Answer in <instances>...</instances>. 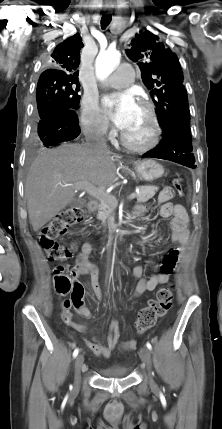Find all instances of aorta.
I'll return each instance as SVG.
<instances>
[{
	"instance_id": "aorta-1",
	"label": "aorta",
	"mask_w": 222,
	"mask_h": 429,
	"mask_svg": "<svg viewBox=\"0 0 222 429\" xmlns=\"http://www.w3.org/2000/svg\"><path fill=\"white\" fill-rule=\"evenodd\" d=\"M120 52L117 50H107L100 52L96 59V73L99 78L110 75L120 62Z\"/></svg>"
}]
</instances>
